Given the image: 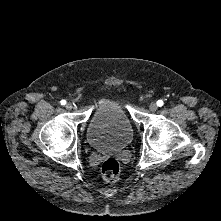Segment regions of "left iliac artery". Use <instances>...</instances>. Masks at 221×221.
Segmentation results:
<instances>
[{"instance_id":"left-iliac-artery-1","label":"left iliac artery","mask_w":221,"mask_h":221,"mask_svg":"<svg viewBox=\"0 0 221 221\" xmlns=\"http://www.w3.org/2000/svg\"><path fill=\"white\" fill-rule=\"evenodd\" d=\"M163 104H164V103H163L162 100H158V101H157V106L161 107V106H163Z\"/></svg>"}]
</instances>
